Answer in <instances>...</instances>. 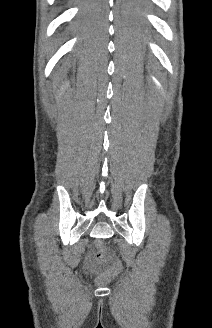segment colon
I'll return each mask as SVG.
<instances>
[{"label":"colon","instance_id":"5ec220e1","mask_svg":"<svg viewBox=\"0 0 212 328\" xmlns=\"http://www.w3.org/2000/svg\"><path fill=\"white\" fill-rule=\"evenodd\" d=\"M96 256L100 262L107 263L109 265L110 275L116 274L122 267L121 262L116 257L111 255L103 246H100Z\"/></svg>","mask_w":212,"mask_h":328}]
</instances>
